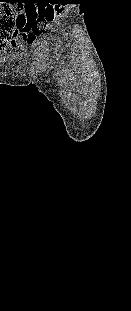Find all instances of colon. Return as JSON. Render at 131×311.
<instances>
[{
	"mask_svg": "<svg viewBox=\"0 0 131 311\" xmlns=\"http://www.w3.org/2000/svg\"><path fill=\"white\" fill-rule=\"evenodd\" d=\"M15 19L16 18L14 17L13 14H10L9 12L5 10H0V28L11 27L15 23Z\"/></svg>",
	"mask_w": 131,
	"mask_h": 311,
	"instance_id": "colon-1",
	"label": "colon"
}]
</instances>
